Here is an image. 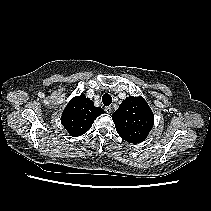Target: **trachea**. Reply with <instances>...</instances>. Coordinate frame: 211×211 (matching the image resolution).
I'll list each match as a JSON object with an SVG mask.
<instances>
[{"instance_id": "1", "label": "trachea", "mask_w": 211, "mask_h": 211, "mask_svg": "<svg viewBox=\"0 0 211 211\" xmlns=\"http://www.w3.org/2000/svg\"><path fill=\"white\" fill-rule=\"evenodd\" d=\"M102 102L105 106H109L112 103V97L108 93H105L102 96Z\"/></svg>"}]
</instances>
